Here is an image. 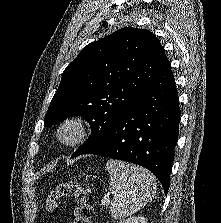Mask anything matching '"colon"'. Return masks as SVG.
Returning a JSON list of instances; mask_svg holds the SVG:
<instances>
[{"mask_svg":"<svg viewBox=\"0 0 221 223\" xmlns=\"http://www.w3.org/2000/svg\"><path fill=\"white\" fill-rule=\"evenodd\" d=\"M69 197L77 202L73 210V223H91L93 209L87 201L88 193L77 180L62 182L52 188L47 195L46 209L58 208L61 200Z\"/></svg>","mask_w":221,"mask_h":223,"instance_id":"obj_1","label":"colon"}]
</instances>
